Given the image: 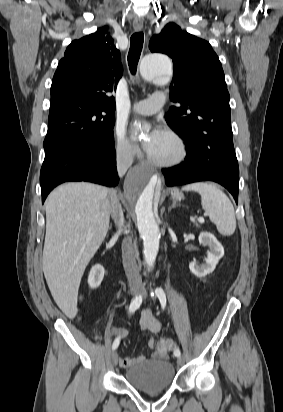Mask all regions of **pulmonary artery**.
<instances>
[{
    "instance_id": "obj_1",
    "label": "pulmonary artery",
    "mask_w": 283,
    "mask_h": 412,
    "mask_svg": "<svg viewBox=\"0 0 283 412\" xmlns=\"http://www.w3.org/2000/svg\"><path fill=\"white\" fill-rule=\"evenodd\" d=\"M166 96L163 93L152 95L149 99L134 104L133 110L141 115H152L159 111L165 104Z\"/></svg>"
}]
</instances>
